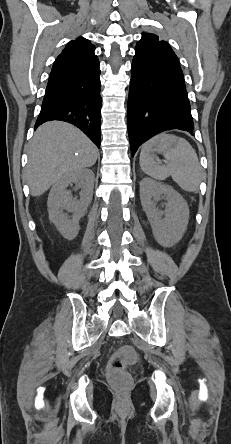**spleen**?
I'll use <instances>...</instances> for the list:
<instances>
[{
    "instance_id": "1",
    "label": "spleen",
    "mask_w": 231,
    "mask_h": 444,
    "mask_svg": "<svg viewBox=\"0 0 231 444\" xmlns=\"http://www.w3.org/2000/svg\"><path fill=\"white\" fill-rule=\"evenodd\" d=\"M168 142L175 145L168 147ZM153 150L163 152L167 161L160 165L151 154ZM140 167L143 172L154 179L165 180L169 176L187 192L199 189L202 170L197 154L188 141L172 135H161L146 142L140 153Z\"/></svg>"
}]
</instances>
